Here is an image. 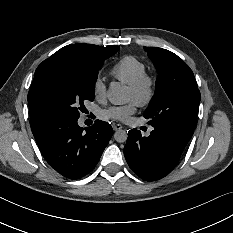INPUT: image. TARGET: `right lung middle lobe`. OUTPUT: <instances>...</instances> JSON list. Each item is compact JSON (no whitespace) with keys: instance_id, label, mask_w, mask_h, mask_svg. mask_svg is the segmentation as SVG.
Masks as SVG:
<instances>
[{"instance_id":"obj_1","label":"right lung middle lobe","mask_w":233,"mask_h":233,"mask_svg":"<svg viewBox=\"0 0 233 233\" xmlns=\"http://www.w3.org/2000/svg\"><path fill=\"white\" fill-rule=\"evenodd\" d=\"M102 63L88 64L69 56H51L35 71L28 93L30 125L79 118L84 101H93Z\"/></svg>"}]
</instances>
